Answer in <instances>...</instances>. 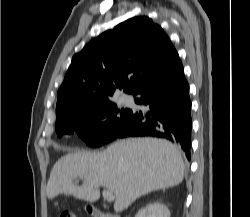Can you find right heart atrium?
Returning <instances> with one entry per match:
<instances>
[{
	"label": "right heart atrium",
	"mask_w": 250,
	"mask_h": 217,
	"mask_svg": "<svg viewBox=\"0 0 250 217\" xmlns=\"http://www.w3.org/2000/svg\"><path fill=\"white\" fill-rule=\"evenodd\" d=\"M100 123L98 120H91L87 123V128L91 131L96 130L99 127Z\"/></svg>",
	"instance_id": "d8ad5b80"
}]
</instances>
